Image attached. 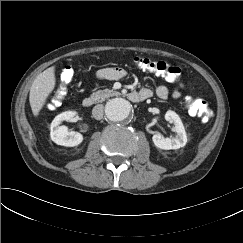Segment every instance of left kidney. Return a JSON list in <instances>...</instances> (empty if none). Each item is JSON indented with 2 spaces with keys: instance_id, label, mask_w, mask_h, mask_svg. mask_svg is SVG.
Segmentation results:
<instances>
[{
  "instance_id": "1",
  "label": "left kidney",
  "mask_w": 243,
  "mask_h": 243,
  "mask_svg": "<svg viewBox=\"0 0 243 243\" xmlns=\"http://www.w3.org/2000/svg\"><path fill=\"white\" fill-rule=\"evenodd\" d=\"M165 119L174 124L172 131L176 133L175 138H164L160 133L152 137L156 147L164 150L179 149L187 143V135L180 117L174 111H167Z\"/></svg>"
}]
</instances>
